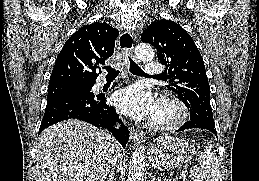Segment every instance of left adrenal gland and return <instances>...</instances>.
I'll return each mask as SVG.
<instances>
[{"instance_id":"1","label":"left adrenal gland","mask_w":259,"mask_h":181,"mask_svg":"<svg viewBox=\"0 0 259 181\" xmlns=\"http://www.w3.org/2000/svg\"><path fill=\"white\" fill-rule=\"evenodd\" d=\"M150 178H151V181H161V180H157L156 178H155V175H153V174H150Z\"/></svg>"}]
</instances>
